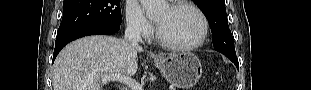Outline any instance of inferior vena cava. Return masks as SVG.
Returning <instances> with one entry per match:
<instances>
[{
  "label": "inferior vena cava",
  "instance_id": "obj_1",
  "mask_svg": "<svg viewBox=\"0 0 311 90\" xmlns=\"http://www.w3.org/2000/svg\"><path fill=\"white\" fill-rule=\"evenodd\" d=\"M124 39L126 41L125 45L127 48L124 58L128 60V64L133 68L138 65L136 51L140 48V43L142 42L139 28L129 24L125 30Z\"/></svg>",
  "mask_w": 311,
  "mask_h": 90
}]
</instances>
